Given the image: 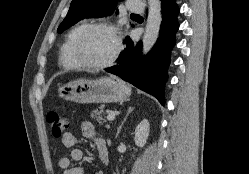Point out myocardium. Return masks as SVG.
Masks as SVG:
<instances>
[{
	"label": "myocardium",
	"mask_w": 249,
	"mask_h": 174,
	"mask_svg": "<svg viewBox=\"0 0 249 174\" xmlns=\"http://www.w3.org/2000/svg\"><path fill=\"white\" fill-rule=\"evenodd\" d=\"M97 29H104L107 30L108 32H110L114 39H115V50L113 52V54L111 55V57L102 63H98V64H92V63H88L87 61H85L81 54H80V49H81V45L84 41V39L86 38V36L93 30H97ZM122 50V41H121V37L120 34L117 30V28L110 24V23H106V22H98V23H92V24H88L83 30L82 32L79 34V36L77 37L74 46H73V55L78 63V65L82 68H86V69H90V70H101V69H105L110 67L111 65H113L116 60L118 59L120 53Z\"/></svg>",
	"instance_id": "myocardium-1"
}]
</instances>
